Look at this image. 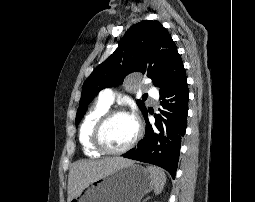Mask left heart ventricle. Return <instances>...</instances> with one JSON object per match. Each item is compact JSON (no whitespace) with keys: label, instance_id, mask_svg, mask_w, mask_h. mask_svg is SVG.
Here are the masks:
<instances>
[{"label":"left heart ventricle","instance_id":"b2bd125f","mask_svg":"<svg viewBox=\"0 0 255 202\" xmlns=\"http://www.w3.org/2000/svg\"><path fill=\"white\" fill-rule=\"evenodd\" d=\"M136 133L134 119L127 115L112 118L103 132L105 144L111 149H120L128 144Z\"/></svg>","mask_w":255,"mask_h":202}]
</instances>
